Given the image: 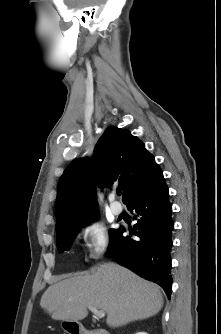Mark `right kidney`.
<instances>
[{
    "label": "right kidney",
    "mask_w": 221,
    "mask_h": 334,
    "mask_svg": "<svg viewBox=\"0 0 221 334\" xmlns=\"http://www.w3.org/2000/svg\"><path fill=\"white\" fill-rule=\"evenodd\" d=\"M136 334H147L146 332H138Z\"/></svg>",
    "instance_id": "obj_1"
}]
</instances>
